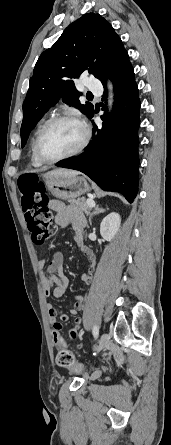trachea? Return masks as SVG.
<instances>
[{
	"label": "trachea",
	"mask_w": 171,
	"mask_h": 445,
	"mask_svg": "<svg viewBox=\"0 0 171 445\" xmlns=\"http://www.w3.org/2000/svg\"><path fill=\"white\" fill-rule=\"evenodd\" d=\"M87 97H93V95L92 94H87Z\"/></svg>",
	"instance_id": "obj_1"
}]
</instances>
